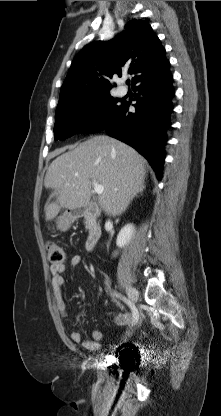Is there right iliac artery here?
<instances>
[{
	"label": "right iliac artery",
	"mask_w": 221,
	"mask_h": 416,
	"mask_svg": "<svg viewBox=\"0 0 221 416\" xmlns=\"http://www.w3.org/2000/svg\"><path fill=\"white\" fill-rule=\"evenodd\" d=\"M116 294V293H115ZM116 296L120 297V299H122L132 310V314H133V321H132V325L135 324L138 321V311L137 309L132 306L131 302L124 296L116 294Z\"/></svg>",
	"instance_id": "1"
}]
</instances>
